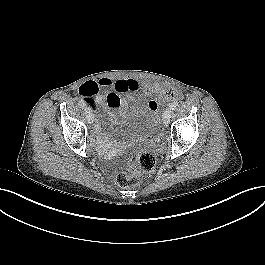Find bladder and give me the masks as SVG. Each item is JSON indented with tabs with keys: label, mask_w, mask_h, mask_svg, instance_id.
<instances>
[{
	"label": "bladder",
	"mask_w": 265,
	"mask_h": 265,
	"mask_svg": "<svg viewBox=\"0 0 265 265\" xmlns=\"http://www.w3.org/2000/svg\"><path fill=\"white\" fill-rule=\"evenodd\" d=\"M124 120V129L133 135H151L158 128L156 113L140 90L131 93Z\"/></svg>",
	"instance_id": "bladder-1"
}]
</instances>
